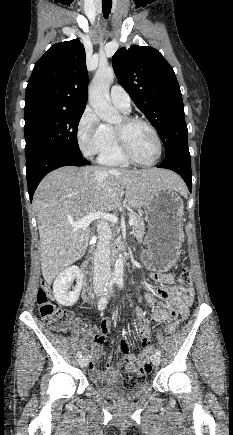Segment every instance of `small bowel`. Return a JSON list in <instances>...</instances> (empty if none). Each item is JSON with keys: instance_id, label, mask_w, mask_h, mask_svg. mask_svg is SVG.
Returning <instances> with one entry per match:
<instances>
[{"instance_id": "1", "label": "small bowel", "mask_w": 233, "mask_h": 435, "mask_svg": "<svg viewBox=\"0 0 233 435\" xmlns=\"http://www.w3.org/2000/svg\"><path fill=\"white\" fill-rule=\"evenodd\" d=\"M151 278L156 280L159 284L150 287L144 294V297L152 308L154 319L158 323H163L166 319L170 321L168 326L164 329V332L168 333L178 323L177 317L182 309L185 306H191L194 296L193 289L192 287L185 288L174 284V275L172 273L152 272ZM158 300H163V303H160ZM134 315L142 319L144 318V314L141 310H135ZM110 328L111 321L104 318L100 322L99 331H97L96 327L90 326L84 331L81 340V347L89 355L91 360L89 363L90 376L96 384L105 382L121 383L124 381L121 371L112 368V354L107 355L105 373L99 371L95 365L100 357L102 344ZM151 332L152 329L147 325H141L139 327L142 352L138 358L130 352V345L127 340L124 338L120 340V348L125 354V358L118 361V366L125 365L129 372H136L139 367L145 365V359L150 352L149 340ZM93 336H95L96 339L94 343H91L90 339ZM148 373V371L139 373L138 379L136 380H143Z\"/></svg>"}]
</instances>
